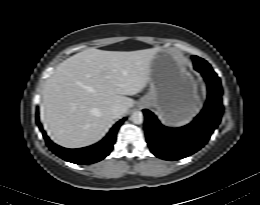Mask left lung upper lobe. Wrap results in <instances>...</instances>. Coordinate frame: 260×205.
<instances>
[{"instance_id":"1","label":"left lung upper lobe","mask_w":260,"mask_h":205,"mask_svg":"<svg viewBox=\"0 0 260 205\" xmlns=\"http://www.w3.org/2000/svg\"><path fill=\"white\" fill-rule=\"evenodd\" d=\"M193 61H194L195 68L202 67V68L212 69L211 66L202 58L193 56Z\"/></svg>"}]
</instances>
